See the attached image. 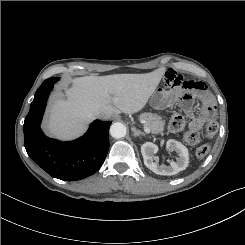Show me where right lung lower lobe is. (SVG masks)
<instances>
[{"instance_id":"98d812e1","label":"right lung lower lobe","mask_w":245,"mask_h":245,"mask_svg":"<svg viewBox=\"0 0 245 245\" xmlns=\"http://www.w3.org/2000/svg\"><path fill=\"white\" fill-rule=\"evenodd\" d=\"M59 78L45 80L37 90L24 121V145L28 155L52 177L75 181L100 169L109 149L111 122L94 121L86 134L71 142L48 138L40 129L50 91Z\"/></svg>"}]
</instances>
